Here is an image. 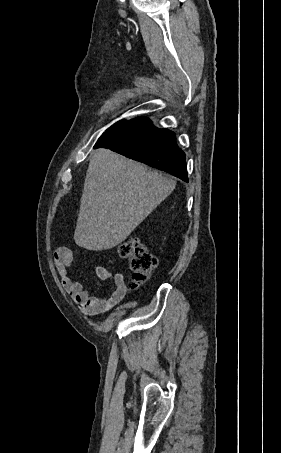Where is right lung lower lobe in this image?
Instances as JSON below:
<instances>
[{"instance_id":"obj_1","label":"right lung lower lobe","mask_w":281,"mask_h":453,"mask_svg":"<svg viewBox=\"0 0 281 453\" xmlns=\"http://www.w3.org/2000/svg\"><path fill=\"white\" fill-rule=\"evenodd\" d=\"M100 147L111 149L188 182L185 154L178 147L175 134L153 126L147 118L118 121L98 139L94 148Z\"/></svg>"}]
</instances>
